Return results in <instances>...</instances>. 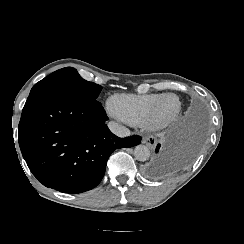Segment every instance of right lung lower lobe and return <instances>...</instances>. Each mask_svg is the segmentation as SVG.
<instances>
[{
  "instance_id": "1",
  "label": "right lung lower lobe",
  "mask_w": 244,
  "mask_h": 244,
  "mask_svg": "<svg viewBox=\"0 0 244 244\" xmlns=\"http://www.w3.org/2000/svg\"><path fill=\"white\" fill-rule=\"evenodd\" d=\"M97 100L60 93L30 94L19 123V146L30 171L46 187L81 193L102 180L107 160L141 137L115 136Z\"/></svg>"
}]
</instances>
